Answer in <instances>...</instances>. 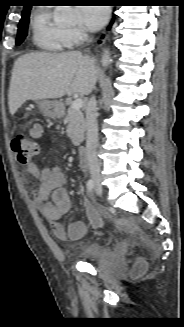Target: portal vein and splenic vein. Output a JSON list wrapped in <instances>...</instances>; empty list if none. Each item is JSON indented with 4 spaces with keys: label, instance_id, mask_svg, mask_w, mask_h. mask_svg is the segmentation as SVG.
<instances>
[{
    "label": "portal vein and splenic vein",
    "instance_id": "obj_1",
    "mask_svg": "<svg viewBox=\"0 0 184 327\" xmlns=\"http://www.w3.org/2000/svg\"><path fill=\"white\" fill-rule=\"evenodd\" d=\"M83 106V100L82 99H76L71 103V108L74 110H79Z\"/></svg>",
    "mask_w": 184,
    "mask_h": 327
}]
</instances>
